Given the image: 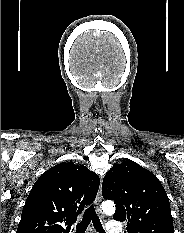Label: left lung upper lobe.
<instances>
[{
    "mask_svg": "<svg viewBox=\"0 0 184 233\" xmlns=\"http://www.w3.org/2000/svg\"><path fill=\"white\" fill-rule=\"evenodd\" d=\"M102 195L114 200L113 218L128 221V233H174L169 199L161 182L134 161L113 165L104 177Z\"/></svg>",
    "mask_w": 184,
    "mask_h": 233,
    "instance_id": "1",
    "label": "left lung upper lobe"
}]
</instances>
